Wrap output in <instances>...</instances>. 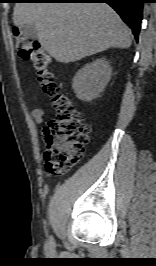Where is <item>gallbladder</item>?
Listing matches in <instances>:
<instances>
[{"label":"gallbladder","mask_w":156,"mask_h":266,"mask_svg":"<svg viewBox=\"0 0 156 266\" xmlns=\"http://www.w3.org/2000/svg\"><path fill=\"white\" fill-rule=\"evenodd\" d=\"M22 34L27 38H37V29L34 25H25L21 28Z\"/></svg>","instance_id":"bac80fb5"}]
</instances>
